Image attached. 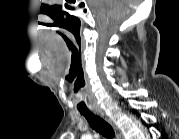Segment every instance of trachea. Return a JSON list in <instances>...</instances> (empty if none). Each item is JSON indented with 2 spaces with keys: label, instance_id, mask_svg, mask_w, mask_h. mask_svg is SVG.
Here are the masks:
<instances>
[{
  "label": "trachea",
  "instance_id": "1",
  "mask_svg": "<svg viewBox=\"0 0 179 139\" xmlns=\"http://www.w3.org/2000/svg\"><path fill=\"white\" fill-rule=\"evenodd\" d=\"M81 114L86 118L92 129H94L96 132H99L108 139L115 137V132L112 126L103 119H101L99 116H95L90 111H81Z\"/></svg>",
  "mask_w": 179,
  "mask_h": 139
}]
</instances>
